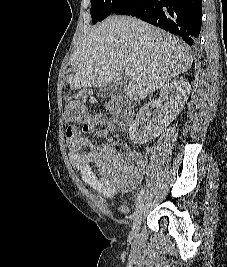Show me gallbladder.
I'll return each mask as SVG.
<instances>
[{"instance_id":"1","label":"gallbladder","mask_w":227,"mask_h":267,"mask_svg":"<svg viewBox=\"0 0 227 267\" xmlns=\"http://www.w3.org/2000/svg\"><path fill=\"white\" fill-rule=\"evenodd\" d=\"M120 85H121L120 81L118 79H115L113 82H111L105 86H102L98 90L97 95L102 97V98L112 96L114 93H116L120 89V87H121Z\"/></svg>"}]
</instances>
